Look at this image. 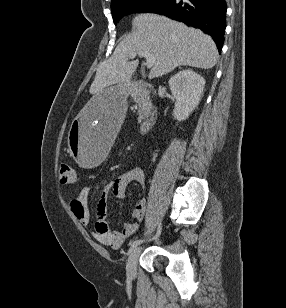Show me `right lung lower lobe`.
<instances>
[{
  "instance_id": "right-lung-lower-lobe-1",
  "label": "right lung lower lobe",
  "mask_w": 286,
  "mask_h": 308,
  "mask_svg": "<svg viewBox=\"0 0 286 308\" xmlns=\"http://www.w3.org/2000/svg\"><path fill=\"white\" fill-rule=\"evenodd\" d=\"M226 11L225 0H168L153 13L171 17L203 30L213 38L221 53L226 28Z\"/></svg>"
}]
</instances>
